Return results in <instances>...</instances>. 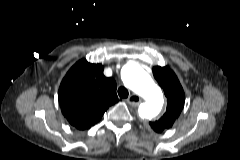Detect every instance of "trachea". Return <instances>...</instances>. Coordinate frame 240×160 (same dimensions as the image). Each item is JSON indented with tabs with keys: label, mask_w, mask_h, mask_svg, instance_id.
Instances as JSON below:
<instances>
[{
	"label": "trachea",
	"mask_w": 240,
	"mask_h": 160,
	"mask_svg": "<svg viewBox=\"0 0 240 160\" xmlns=\"http://www.w3.org/2000/svg\"><path fill=\"white\" fill-rule=\"evenodd\" d=\"M118 95L120 98L125 99L128 97L129 92H128L127 88H125L124 86H121L118 89Z\"/></svg>",
	"instance_id": "1"
}]
</instances>
